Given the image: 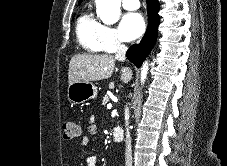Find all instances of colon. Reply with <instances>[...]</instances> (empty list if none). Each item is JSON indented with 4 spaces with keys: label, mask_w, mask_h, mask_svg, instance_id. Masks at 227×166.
Returning a JSON list of instances; mask_svg holds the SVG:
<instances>
[{
    "label": "colon",
    "mask_w": 227,
    "mask_h": 166,
    "mask_svg": "<svg viewBox=\"0 0 227 166\" xmlns=\"http://www.w3.org/2000/svg\"><path fill=\"white\" fill-rule=\"evenodd\" d=\"M63 134L67 140H73L79 136V128L75 121L67 119L63 122Z\"/></svg>",
    "instance_id": "1"
}]
</instances>
